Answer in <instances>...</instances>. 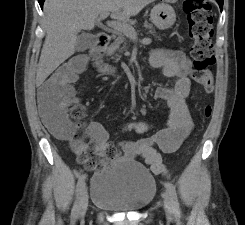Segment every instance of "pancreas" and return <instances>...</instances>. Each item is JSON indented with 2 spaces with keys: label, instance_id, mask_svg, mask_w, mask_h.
I'll return each mask as SVG.
<instances>
[{
  "label": "pancreas",
  "instance_id": "pancreas-1",
  "mask_svg": "<svg viewBox=\"0 0 245 225\" xmlns=\"http://www.w3.org/2000/svg\"><path fill=\"white\" fill-rule=\"evenodd\" d=\"M145 27L150 29V34L155 33V30L151 24L145 23ZM121 45L123 46L121 47ZM123 50H126V39L121 33H117V38L107 48L106 54L112 56V59H115V61L118 62L120 59V55L116 54V52L121 53Z\"/></svg>",
  "mask_w": 245,
  "mask_h": 225
}]
</instances>
